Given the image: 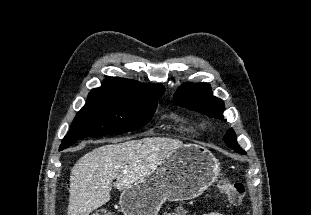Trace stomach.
Wrapping results in <instances>:
<instances>
[{"mask_svg": "<svg viewBox=\"0 0 311 215\" xmlns=\"http://www.w3.org/2000/svg\"><path fill=\"white\" fill-rule=\"evenodd\" d=\"M220 175V164L206 148L184 144L167 155L143 180L122 192L124 215H157L166 201L200 196Z\"/></svg>", "mask_w": 311, "mask_h": 215, "instance_id": "1", "label": "stomach"}]
</instances>
